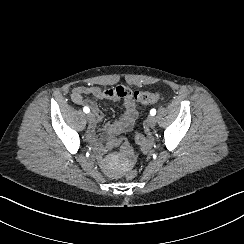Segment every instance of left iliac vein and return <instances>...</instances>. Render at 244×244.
<instances>
[{"label":"left iliac vein","instance_id":"1","mask_svg":"<svg viewBox=\"0 0 244 244\" xmlns=\"http://www.w3.org/2000/svg\"><path fill=\"white\" fill-rule=\"evenodd\" d=\"M146 123L149 127H154L156 124V118L151 115L147 118Z\"/></svg>","mask_w":244,"mask_h":244}]
</instances>
